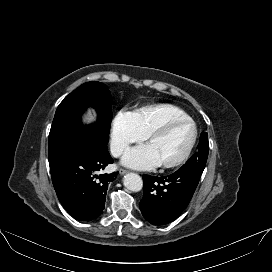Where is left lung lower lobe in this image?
<instances>
[{"mask_svg": "<svg viewBox=\"0 0 272 272\" xmlns=\"http://www.w3.org/2000/svg\"><path fill=\"white\" fill-rule=\"evenodd\" d=\"M204 169H179L163 177L143 175V199L140 210L153 225L175 220L188 206Z\"/></svg>", "mask_w": 272, "mask_h": 272, "instance_id": "obj_1", "label": "left lung lower lobe"}]
</instances>
